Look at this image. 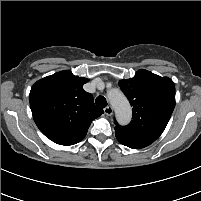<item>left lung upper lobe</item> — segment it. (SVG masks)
Returning a JSON list of instances; mask_svg holds the SVG:
<instances>
[{
    "instance_id": "5c2ea615",
    "label": "left lung upper lobe",
    "mask_w": 201,
    "mask_h": 201,
    "mask_svg": "<svg viewBox=\"0 0 201 201\" xmlns=\"http://www.w3.org/2000/svg\"><path fill=\"white\" fill-rule=\"evenodd\" d=\"M119 86L133 107L132 121L115 129L125 135L156 140L166 128L175 107V86L168 77L138 70Z\"/></svg>"
}]
</instances>
